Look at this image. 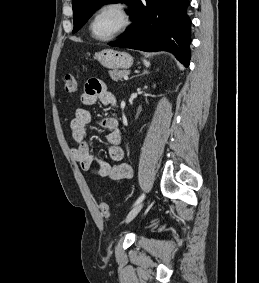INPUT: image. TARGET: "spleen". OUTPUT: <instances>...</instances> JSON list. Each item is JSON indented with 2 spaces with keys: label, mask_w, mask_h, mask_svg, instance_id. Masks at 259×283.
I'll return each mask as SVG.
<instances>
[{
  "label": "spleen",
  "mask_w": 259,
  "mask_h": 283,
  "mask_svg": "<svg viewBox=\"0 0 259 283\" xmlns=\"http://www.w3.org/2000/svg\"><path fill=\"white\" fill-rule=\"evenodd\" d=\"M145 65L148 67L150 65L149 61L144 60Z\"/></svg>",
  "instance_id": "1"
}]
</instances>
